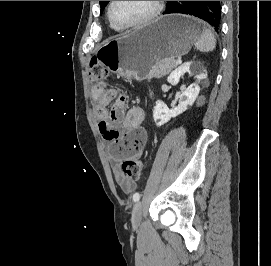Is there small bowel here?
Segmentation results:
<instances>
[{
    "label": "small bowel",
    "instance_id": "c3829d8e",
    "mask_svg": "<svg viewBox=\"0 0 271 266\" xmlns=\"http://www.w3.org/2000/svg\"><path fill=\"white\" fill-rule=\"evenodd\" d=\"M91 94L99 130L110 143L114 178L124 192L130 193L135 182L121 172L120 165L124 160L139 157L143 151L146 143V132L141 127L144 111L138 106L126 110V96L122 98L115 89L97 85L92 87ZM109 104H112L110 111Z\"/></svg>",
    "mask_w": 271,
    "mask_h": 266
}]
</instances>
